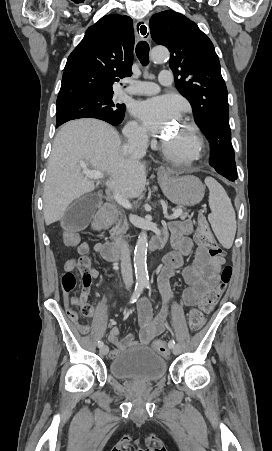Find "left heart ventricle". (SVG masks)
Returning a JSON list of instances; mask_svg holds the SVG:
<instances>
[{
    "label": "left heart ventricle",
    "mask_w": 272,
    "mask_h": 451,
    "mask_svg": "<svg viewBox=\"0 0 272 451\" xmlns=\"http://www.w3.org/2000/svg\"><path fill=\"white\" fill-rule=\"evenodd\" d=\"M189 131L181 125L173 136V141L178 146H183L189 141Z\"/></svg>",
    "instance_id": "obj_1"
}]
</instances>
